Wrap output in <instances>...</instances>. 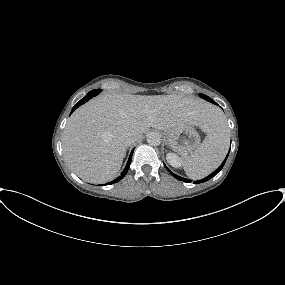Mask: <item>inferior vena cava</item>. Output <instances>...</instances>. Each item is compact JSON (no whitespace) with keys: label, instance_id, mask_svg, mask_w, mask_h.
Listing matches in <instances>:
<instances>
[{"label":"inferior vena cava","instance_id":"inferior-vena-cava-1","mask_svg":"<svg viewBox=\"0 0 285 285\" xmlns=\"http://www.w3.org/2000/svg\"><path fill=\"white\" fill-rule=\"evenodd\" d=\"M122 141L126 146H130L137 141V136L132 133H126L122 136Z\"/></svg>","mask_w":285,"mask_h":285}]
</instances>
